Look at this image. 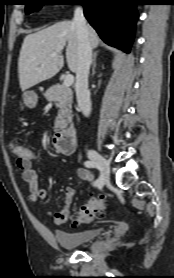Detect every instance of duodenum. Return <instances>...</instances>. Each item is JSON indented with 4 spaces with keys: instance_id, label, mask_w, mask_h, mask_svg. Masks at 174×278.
I'll return each instance as SVG.
<instances>
[{
    "instance_id": "duodenum-1",
    "label": "duodenum",
    "mask_w": 174,
    "mask_h": 278,
    "mask_svg": "<svg viewBox=\"0 0 174 278\" xmlns=\"http://www.w3.org/2000/svg\"><path fill=\"white\" fill-rule=\"evenodd\" d=\"M53 144L56 149L65 154L69 155L74 151L76 143V133L73 127L60 129L53 135Z\"/></svg>"
}]
</instances>
